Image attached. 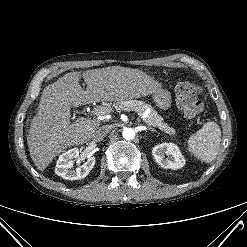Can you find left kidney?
I'll return each instance as SVG.
<instances>
[{
	"mask_svg": "<svg viewBox=\"0 0 247 247\" xmlns=\"http://www.w3.org/2000/svg\"><path fill=\"white\" fill-rule=\"evenodd\" d=\"M152 155L157 164L164 169L176 170L182 168L185 164V158L181 154L178 146L174 143L156 145L152 149Z\"/></svg>",
	"mask_w": 247,
	"mask_h": 247,
	"instance_id": "1",
	"label": "left kidney"
}]
</instances>
